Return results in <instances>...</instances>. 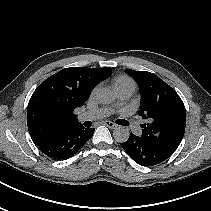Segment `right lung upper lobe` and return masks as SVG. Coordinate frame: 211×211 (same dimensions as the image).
Here are the masks:
<instances>
[{
	"mask_svg": "<svg viewBox=\"0 0 211 211\" xmlns=\"http://www.w3.org/2000/svg\"><path fill=\"white\" fill-rule=\"evenodd\" d=\"M111 74L110 68L70 67L43 81L27 108V125L33 142L37 144L59 130L81 124L74 110Z\"/></svg>",
	"mask_w": 211,
	"mask_h": 211,
	"instance_id": "obj_1",
	"label": "right lung upper lobe"
}]
</instances>
